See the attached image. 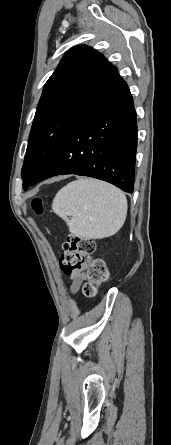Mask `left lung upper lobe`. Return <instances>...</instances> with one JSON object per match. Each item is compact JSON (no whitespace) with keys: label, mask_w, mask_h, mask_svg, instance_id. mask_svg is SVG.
<instances>
[{"label":"left lung upper lobe","mask_w":171,"mask_h":445,"mask_svg":"<svg viewBox=\"0 0 171 445\" xmlns=\"http://www.w3.org/2000/svg\"><path fill=\"white\" fill-rule=\"evenodd\" d=\"M124 83L117 68L96 50L85 45L69 50L44 86L21 172L23 183L90 108Z\"/></svg>","instance_id":"1"}]
</instances>
